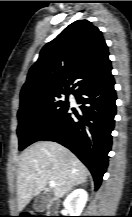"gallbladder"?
Instances as JSON below:
<instances>
[{
    "mask_svg": "<svg viewBox=\"0 0 132 217\" xmlns=\"http://www.w3.org/2000/svg\"><path fill=\"white\" fill-rule=\"evenodd\" d=\"M53 197L52 192H43L34 201L33 209L37 212H43L50 204Z\"/></svg>",
    "mask_w": 132,
    "mask_h": 217,
    "instance_id": "obj_1",
    "label": "gallbladder"
}]
</instances>
